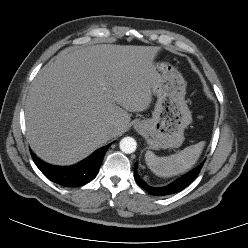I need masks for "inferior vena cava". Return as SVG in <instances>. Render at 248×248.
<instances>
[{"label":"inferior vena cava","instance_id":"1","mask_svg":"<svg viewBox=\"0 0 248 248\" xmlns=\"http://www.w3.org/2000/svg\"><path fill=\"white\" fill-rule=\"evenodd\" d=\"M114 133V129L113 128H108L107 130H106V134L107 135H112Z\"/></svg>","mask_w":248,"mask_h":248}]
</instances>
